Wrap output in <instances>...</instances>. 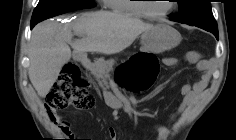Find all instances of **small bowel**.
Masks as SVG:
<instances>
[{
	"mask_svg": "<svg viewBox=\"0 0 236 140\" xmlns=\"http://www.w3.org/2000/svg\"><path fill=\"white\" fill-rule=\"evenodd\" d=\"M182 60L190 64H195L197 69L202 72V75L201 78L193 85L186 84L182 87V99L177 108V111L171 116V119L185 114L196 103L199 95L206 89L210 80V73L207 71V62L202 59L199 52L189 51L183 56ZM162 62L165 66L174 67L180 62V59L175 57H165L163 58ZM57 120L61 122L63 132L67 135H70L71 131L69 128V123L60 120L59 117H57ZM156 132V140H167L169 136V130L166 126H156ZM109 137L110 140H118L117 132L114 128L109 129Z\"/></svg>",
	"mask_w": 236,
	"mask_h": 140,
	"instance_id": "1",
	"label": "small bowel"
}]
</instances>
